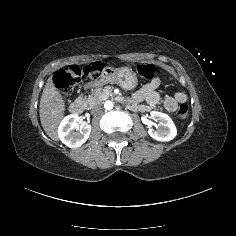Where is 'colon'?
<instances>
[{
	"label": "colon",
	"instance_id": "colon-1",
	"mask_svg": "<svg viewBox=\"0 0 236 236\" xmlns=\"http://www.w3.org/2000/svg\"><path fill=\"white\" fill-rule=\"evenodd\" d=\"M101 71L102 66L98 62L85 66L72 65L66 69L58 70L54 75V82L64 95H69L83 77L96 79L100 76ZM136 72L141 78L149 80L152 79L155 74V67L152 64H140L137 66ZM177 115L180 119L187 118V104L182 103L178 106Z\"/></svg>",
	"mask_w": 236,
	"mask_h": 236
}]
</instances>
